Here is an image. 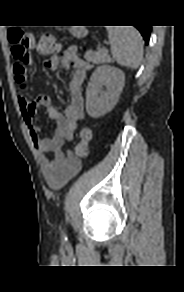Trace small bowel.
I'll return each instance as SVG.
<instances>
[{
    "mask_svg": "<svg viewBox=\"0 0 184 292\" xmlns=\"http://www.w3.org/2000/svg\"><path fill=\"white\" fill-rule=\"evenodd\" d=\"M34 44L35 41L32 38L30 47ZM30 63L29 56L26 63L17 62L13 68L14 79L18 85V103L30 138L41 155V166L46 182L51 188L58 189L81 170V161L70 152L65 156L62 147L74 139L77 124L83 118L82 86L91 65L79 56L75 46L68 47L62 55H53L44 61V65L48 69L73 72L69 82L70 100L64 111L61 112L52 104L48 95L42 94L34 100L28 99L26 66ZM40 107H45L48 116L55 121V131L52 137H41L40 128L34 123V117ZM50 153L53 154V158L49 157Z\"/></svg>",
    "mask_w": 184,
    "mask_h": 292,
    "instance_id": "1",
    "label": "small bowel"
}]
</instances>
